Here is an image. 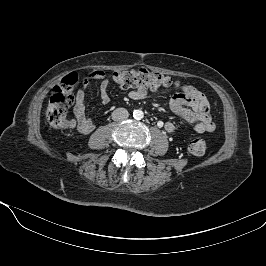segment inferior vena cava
Listing matches in <instances>:
<instances>
[{
	"instance_id": "obj_1",
	"label": "inferior vena cava",
	"mask_w": 266,
	"mask_h": 266,
	"mask_svg": "<svg viewBox=\"0 0 266 266\" xmlns=\"http://www.w3.org/2000/svg\"><path fill=\"white\" fill-rule=\"evenodd\" d=\"M129 117V113L125 108H117L112 112V119L114 121L125 120Z\"/></svg>"
}]
</instances>
